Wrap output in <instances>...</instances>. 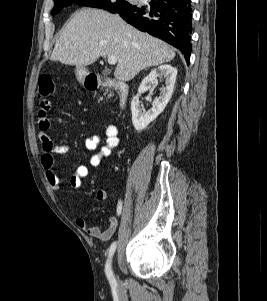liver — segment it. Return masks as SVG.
Wrapping results in <instances>:
<instances>
[{
	"mask_svg": "<svg viewBox=\"0 0 267 301\" xmlns=\"http://www.w3.org/2000/svg\"><path fill=\"white\" fill-rule=\"evenodd\" d=\"M101 56L117 57L114 77L126 82L143 69L170 62L175 51L165 42L127 24L117 14L83 8L66 25L51 60L82 69Z\"/></svg>",
	"mask_w": 267,
	"mask_h": 301,
	"instance_id": "1",
	"label": "liver"
}]
</instances>
